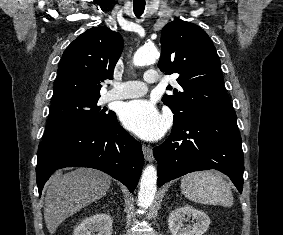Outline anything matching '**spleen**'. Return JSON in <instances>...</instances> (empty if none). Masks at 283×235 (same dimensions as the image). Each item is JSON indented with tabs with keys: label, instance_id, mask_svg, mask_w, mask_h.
<instances>
[{
	"label": "spleen",
	"instance_id": "1",
	"mask_svg": "<svg viewBox=\"0 0 283 235\" xmlns=\"http://www.w3.org/2000/svg\"><path fill=\"white\" fill-rule=\"evenodd\" d=\"M181 191L186 198L204 205H233V194L224 177L216 171H199L181 179Z\"/></svg>",
	"mask_w": 283,
	"mask_h": 235
}]
</instances>
